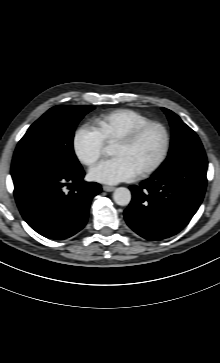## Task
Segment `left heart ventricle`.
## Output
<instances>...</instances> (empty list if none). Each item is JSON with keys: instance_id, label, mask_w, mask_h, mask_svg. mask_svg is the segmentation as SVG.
I'll return each mask as SVG.
<instances>
[{"instance_id": "b2bd125f", "label": "left heart ventricle", "mask_w": 220, "mask_h": 363, "mask_svg": "<svg viewBox=\"0 0 220 363\" xmlns=\"http://www.w3.org/2000/svg\"><path fill=\"white\" fill-rule=\"evenodd\" d=\"M163 146V134L157 128H151L134 144L125 146L114 144L113 155L126 158L133 168L140 172L153 164Z\"/></svg>"}]
</instances>
